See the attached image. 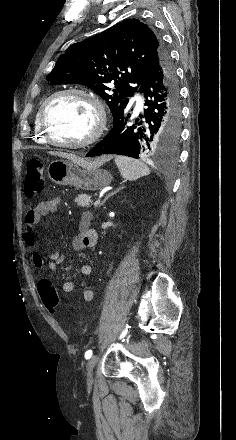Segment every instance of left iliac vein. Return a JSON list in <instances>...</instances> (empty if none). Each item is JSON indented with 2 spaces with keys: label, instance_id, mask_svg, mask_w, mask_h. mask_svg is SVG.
<instances>
[{
  "label": "left iliac vein",
  "instance_id": "obj_1",
  "mask_svg": "<svg viewBox=\"0 0 236 440\" xmlns=\"http://www.w3.org/2000/svg\"><path fill=\"white\" fill-rule=\"evenodd\" d=\"M98 360H99V357L97 355H94L90 358V360L88 361V363L86 365V370H87L86 381L89 386H91L93 383L92 373H93V369L95 368Z\"/></svg>",
  "mask_w": 236,
  "mask_h": 440
}]
</instances>
